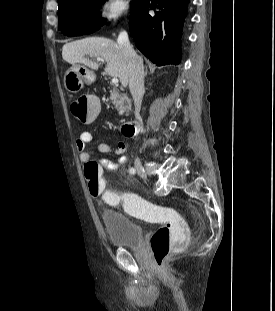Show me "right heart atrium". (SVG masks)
Wrapping results in <instances>:
<instances>
[{
    "label": "right heart atrium",
    "mask_w": 275,
    "mask_h": 311,
    "mask_svg": "<svg viewBox=\"0 0 275 311\" xmlns=\"http://www.w3.org/2000/svg\"><path fill=\"white\" fill-rule=\"evenodd\" d=\"M128 7L127 0H103L100 9V20L107 24L121 21Z\"/></svg>",
    "instance_id": "d8ad5b80"
}]
</instances>
